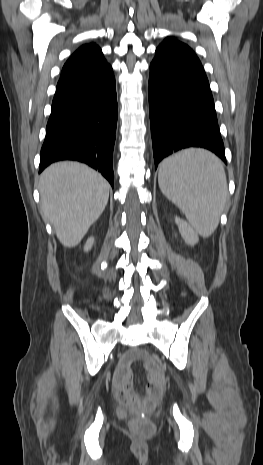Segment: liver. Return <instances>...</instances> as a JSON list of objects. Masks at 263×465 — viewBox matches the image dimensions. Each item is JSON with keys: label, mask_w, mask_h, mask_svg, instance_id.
I'll list each match as a JSON object with an SVG mask.
<instances>
[{"label": "liver", "mask_w": 263, "mask_h": 465, "mask_svg": "<svg viewBox=\"0 0 263 465\" xmlns=\"http://www.w3.org/2000/svg\"><path fill=\"white\" fill-rule=\"evenodd\" d=\"M110 185L101 174L77 162H58L40 176L43 216L50 221L63 246L80 243L103 213Z\"/></svg>", "instance_id": "1"}]
</instances>
